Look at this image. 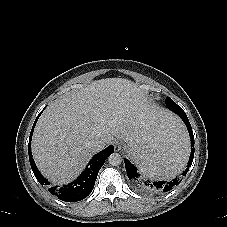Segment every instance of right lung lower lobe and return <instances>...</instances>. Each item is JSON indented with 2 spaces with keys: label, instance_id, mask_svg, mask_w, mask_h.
I'll list each match as a JSON object with an SVG mask.
<instances>
[{
  "label": "right lung lower lobe",
  "instance_id": "right-lung-lower-lobe-1",
  "mask_svg": "<svg viewBox=\"0 0 227 227\" xmlns=\"http://www.w3.org/2000/svg\"><path fill=\"white\" fill-rule=\"evenodd\" d=\"M41 113L42 112H40V114ZM40 114L37 116L30 133L28 153H29L30 165L36 179L39 181L41 185H48V180L44 178L38 171L31 154V138H32L35 124ZM113 152H114V147L113 145H110L103 151L97 153L91 159V161L89 162V164L87 165L83 173L75 181H73L68 185H64L60 188H56V187L50 188L49 192L52 195H56L60 200L66 201V202H76L86 198L94 188L95 180L97 178L100 168L105 163V160L107 159V157H109Z\"/></svg>",
  "mask_w": 227,
  "mask_h": 227
}]
</instances>
